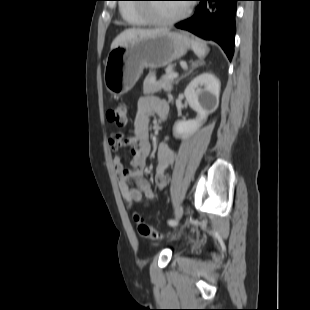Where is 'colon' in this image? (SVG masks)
I'll use <instances>...</instances> for the list:
<instances>
[{
  "instance_id": "obj_1",
  "label": "colon",
  "mask_w": 310,
  "mask_h": 310,
  "mask_svg": "<svg viewBox=\"0 0 310 310\" xmlns=\"http://www.w3.org/2000/svg\"><path fill=\"white\" fill-rule=\"evenodd\" d=\"M109 122L115 124L119 128H124L127 124V106L124 102H119L107 112ZM136 228L139 235L150 240H161L163 235L151 226L146 224L139 215H135Z\"/></svg>"
}]
</instances>
